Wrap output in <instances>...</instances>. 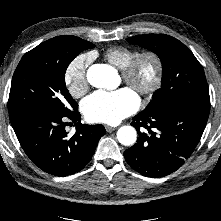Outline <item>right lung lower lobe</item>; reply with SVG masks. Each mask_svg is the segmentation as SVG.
Wrapping results in <instances>:
<instances>
[{
  "instance_id": "obj_1",
  "label": "right lung lower lobe",
  "mask_w": 221,
  "mask_h": 221,
  "mask_svg": "<svg viewBox=\"0 0 221 221\" xmlns=\"http://www.w3.org/2000/svg\"><path fill=\"white\" fill-rule=\"evenodd\" d=\"M76 124V133L69 137L64 120ZM80 114H47L28 112L10 119L16 136L30 160L43 171L64 177L79 172L91 160L100 138L106 133L103 125L81 124Z\"/></svg>"
}]
</instances>
